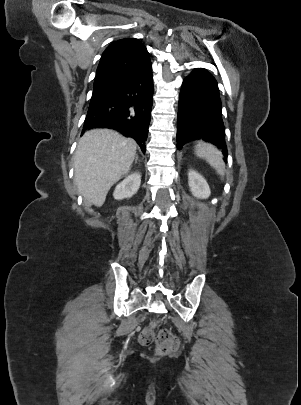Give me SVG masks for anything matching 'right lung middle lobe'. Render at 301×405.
<instances>
[{
	"label": "right lung middle lobe",
	"mask_w": 301,
	"mask_h": 405,
	"mask_svg": "<svg viewBox=\"0 0 301 405\" xmlns=\"http://www.w3.org/2000/svg\"><path fill=\"white\" fill-rule=\"evenodd\" d=\"M108 95H109V93H93V96H92L91 101H90V106H93V105L101 102Z\"/></svg>",
	"instance_id": "1"
}]
</instances>
